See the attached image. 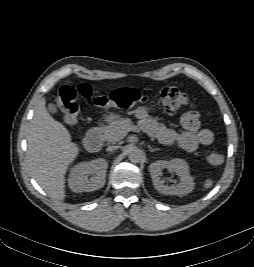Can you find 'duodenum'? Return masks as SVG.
Masks as SVG:
<instances>
[{"label": "duodenum", "mask_w": 254, "mask_h": 267, "mask_svg": "<svg viewBox=\"0 0 254 267\" xmlns=\"http://www.w3.org/2000/svg\"><path fill=\"white\" fill-rule=\"evenodd\" d=\"M83 145L90 152H98L102 146L100 129L98 127L91 128L83 137Z\"/></svg>", "instance_id": "410a0bca"}]
</instances>
